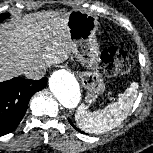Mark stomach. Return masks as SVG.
Here are the masks:
<instances>
[{
	"label": "stomach",
	"mask_w": 153,
	"mask_h": 153,
	"mask_svg": "<svg viewBox=\"0 0 153 153\" xmlns=\"http://www.w3.org/2000/svg\"><path fill=\"white\" fill-rule=\"evenodd\" d=\"M97 18L81 11H71L67 16V33L72 53L87 67L79 78L87 91L86 100L93 103L106 90L105 81L99 71L100 51L96 38Z\"/></svg>",
	"instance_id": "1"
}]
</instances>
